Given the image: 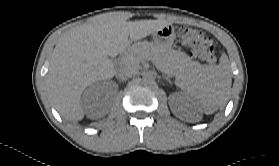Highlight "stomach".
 <instances>
[{"label": "stomach", "mask_w": 279, "mask_h": 166, "mask_svg": "<svg viewBox=\"0 0 279 166\" xmlns=\"http://www.w3.org/2000/svg\"><path fill=\"white\" fill-rule=\"evenodd\" d=\"M176 38L174 27L170 24L167 25L155 33H153V40L155 44L162 48L170 47Z\"/></svg>", "instance_id": "0dacf381"}]
</instances>
